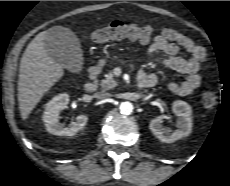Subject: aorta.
<instances>
[{
  "label": "aorta",
  "mask_w": 230,
  "mask_h": 186,
  "mask_svg": "<svg viewBox=\"0 0 230 186\" xmlns=\"http://www.w3.org/2000/svg\"><path fill=\"white\" fill-rule=\"evenodd\" d=\"M119 109L121 114L130 115L133 112V105L128 101L122 102L119 106Z\"/></svg>",
  "instance_id": "762f6f07"
}]
</instances>
